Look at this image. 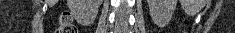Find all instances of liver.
Instances as JSON below:
<instances>
[{
	"label": "liver",
	"mask_w": 235,
	"mask_h": 33,
	"mask_svg": "<svg viewBox=\"0 0 235 33\" xmlns=\"http://www.w3.org/2000/svg\"><path fill=\"white\" fill-rule=\"evenodd\" d=\"M55 2H57V1H55ZM48 4H49V5H51V4H52L50 0H48Z\"/></svg>",
	"instance_id": "6515ba94"
}]
</instances>
